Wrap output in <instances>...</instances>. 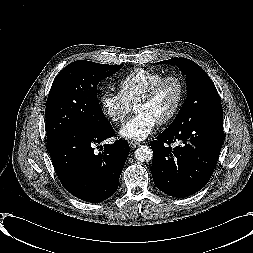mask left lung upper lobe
I'll list each match as a JSON object with an SVG mask.
<instances>
[{"label":"left lung upper lobe","instance_id":"1","mask_svg":"<svg viewBox=\"0 0 253 253\" xmlns=\"http://www.w3.org/2000/svg\"><path fill=\"white\" fill-rule=\"evenodd\" d=\"M176 65L185 75L187 97L176 118L168 128L177 127L189 120L222 113L219 94L207 73L187 58H172L158 64Z\"/></svg>","mask_w":253,"mask_h":253}]
</instances>
